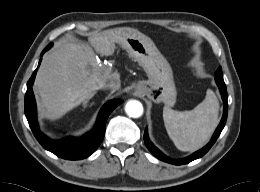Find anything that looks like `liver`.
I'll list each match as a JSON object with an SVG mask.
<instances>
[{"label":"liver","instance_id":"6515ba94","mask_svg":"<svg viewBox=\"0 0 260 192\" xmlns=\"http://www.w3.org/2000/svg\"><path fill=\"white\" fill-rule=\"evenodd\" d=\"M117 42L116 29L97 33L88 44L63 42L47 54L37 72L34 92L42 113L61 117L93 97L100 85L119 79L118 73L98 61L95 52L111 55Z\"/></svg>","mask_w":260,"mask_h":192}]
</instances>
